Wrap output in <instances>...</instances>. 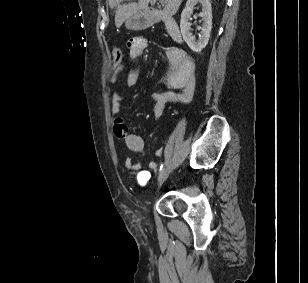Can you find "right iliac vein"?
I'll use <instances>...</instances> for the list:
<instances>
[{"mask_svg": "<svg viewBox=\"0 0 308 283\" xmlns=\"http://www.w3.org/2000/svg\"><path fill=\"white\" fill-rule=\"evenodd\" d=\"M167 175H168V167H165V168L161 171V173H160V175H159V178H158V187H159V186L162 184V182L166 179Z\"/></svg>", "mask_w": 308, "mask_h": 283, "instance_id": "obj_1", "label": "right iliac vein"}]
</instances>
